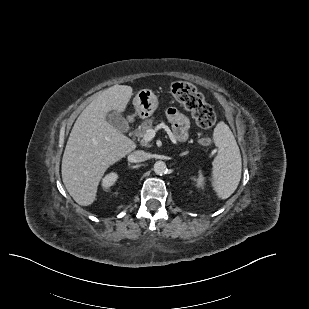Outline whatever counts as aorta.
<instances>
[{
    "label": "aorta",
    "mask_w": 309,
    "mask_h": 309,
    "mask_svg": "<svg viewBox=\"0 0 309 309\" xmlns=\"http://www.w3.org/2000/svg\"><path fill=\"white\" fill-rule=\"evenodd\" d=\"M167 171V166L165 164V162L163 161H157L155 164H154V172L157 174V175H163L165 174Z\"/></svg>",
    "instance_id": "aorta-1"
}]
</instances>
